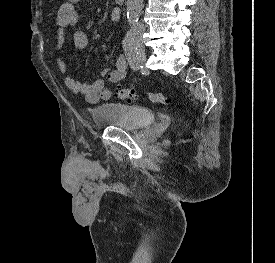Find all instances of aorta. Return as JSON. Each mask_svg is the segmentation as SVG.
Here are the masks:
<instances>
[{"mask_svg": "<svg viewBox=\"0 0 275 263\" xmlns=\"http://www.w3.org/2000/svg\"><path fill=\"white\" fill-rule=\"evenodd\" d=\"M143 8V0L127 1V19L130 24H135L141 14Z\"/></svg>", "mask_w": 275, "mask_h": 263, "instance_id": "1", "label": "aorta"}]
</instances>
